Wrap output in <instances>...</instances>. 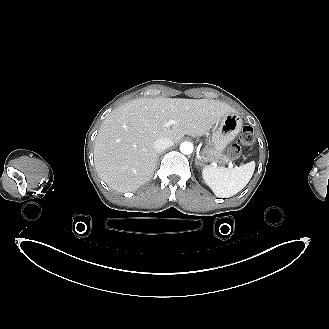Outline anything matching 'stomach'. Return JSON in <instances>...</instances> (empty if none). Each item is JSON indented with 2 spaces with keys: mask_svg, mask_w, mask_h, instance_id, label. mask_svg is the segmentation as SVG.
Returning a JSON list of instances; mask_svg holds the SVG:
<instances>
[{
  "mask_svg": "<svg viewBox=\"0 0 329 329\" xmlns=\"http://www.w3.org/2000/svg\"><path fill=\"white\" fill-rule=\"evenodd\" d=\"M243 121L238 112L225 115L212 136V145L206 147L198 156L201 164L215 161L226 163L229 158L224 155V149L241 131Z\"/></svg>",
  "mask_w": 329,
  "mask_h": 329,
  "instance_id": "1",
  "label": "stomach"
}]
</instances>
